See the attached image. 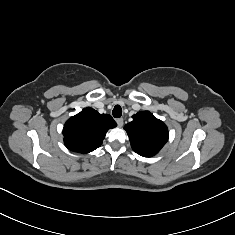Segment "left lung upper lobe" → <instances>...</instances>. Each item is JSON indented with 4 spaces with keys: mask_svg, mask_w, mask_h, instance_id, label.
Masks as SVG:
<instances>
[{
    "mask_svg": "<svg viewBox=\"0 0 235 235\" xmlns=\"http://www.w3.org/2000/svg\"><path fill=\"white\" fill-rule=\"evenodd\" d=\"M132 149L141 156L151 157L167 142L169 133L166 125L149 111L138 112L133 121L126 124Z\"/></svg>",
    "mask_w": 235,
    "mask_h": 235,
    "instance_id": "5c2ea615",
    "label": "left lung upper lobe"
}]
</instances>
